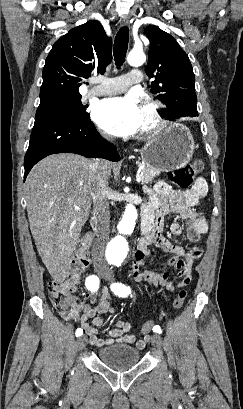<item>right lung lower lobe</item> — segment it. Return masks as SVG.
<instances>
[{
    "label": "right lung lower lobe",
    "instance_id": "98d812e1",
    "mask_svg": "<svg viewBox=\"0 0 243 409\" xmlns=\"http://www.w3.org/2000/svg\"><path fill=\"white\" fill-rule=\"evenodd\" d=\"M55 153H75L88 158L120 160L116 147L100 136L90 117L75 120L49 114L36 115L24 158V179L38 161Z\"/></svg>",
    "mask_w": 243,
    "mask_h": 409
}]
</instances>
